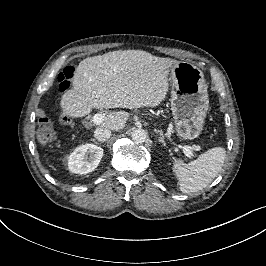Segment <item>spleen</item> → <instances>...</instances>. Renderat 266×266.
Masks as SVG:
<instances>
[{
    "mask_svg": "<svg viewBox=\"0 0 266 266\" xmlns=\"http://www.w3.org/2000/svg\"><path fill=\"white\" fill-rule=\"evenodd\" d=\"M225 157V149L215 147L188 164L181 159H175L173 172L181 192L194 193L206 188L222 170Z\"/></svg>",
    "mask_w": 266,
    "mask_h": 266,
    "instance_id": "spleen-1",
    "label": "spleen"
}]
</instances>
